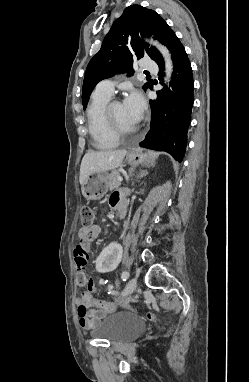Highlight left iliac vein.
Returning a JSON list of instances; mask_svg holds the SVG:
<instances>
[{
	"label": "left iliac vein",
	"mask_w": 249,
	"mask_h": 382,
	"mask_svg": "<svg viewBox=\"0 0 249 382\" xmlns=\"http://www.w3.org/2000/svg\"><path fill=\"white\" fill-rule=\"evenodd\" d=\"M137 288V279L135 277L131 278L128 283L126 284L122 296L127 297L131 295Z\"/></svg>",
	"instance_id": "1"
}]
</instances>
